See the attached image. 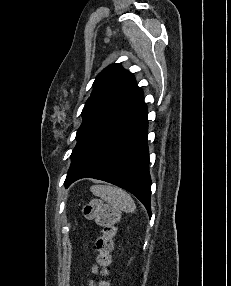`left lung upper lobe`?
Wrapping results in <instances>:
<instances>
[{"label":"left lung upper lobe","mask_w":231,"mask_h":286,"mask_svg":"<svg viewBox=\"0 0 231 286\" xmlns=\"http://www.w3.org/2000/svg\"><path fill=\"white\" fill-rule=\"evenodd\" d=\"M93 91L82 110L83 122L77 131V143L105 116L127 100L139 87L134 76L119 64L105 68L95 79Z\"/></svg>","instance_id":"left-lung-upper-lobe-1"}]
</instances>
